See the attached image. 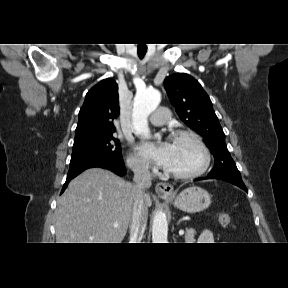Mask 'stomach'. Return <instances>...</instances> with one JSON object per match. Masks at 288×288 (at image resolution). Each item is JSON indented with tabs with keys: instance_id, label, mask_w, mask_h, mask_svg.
<instances>
[{
	"instance_id": "1",
	"label": "stomach",
	"mask_w": 288,
	"mask_h": 288,
	"mask_svg": "<svg viewBox=\"0 0 288 288\" xmlns=\"http://www.w3.org/2000/svg\"><path fill=\"white\" fill-rule=\"evenodd\" d=\"M163 197L172 200L178 209L187 213L203 211L211 204L210 194L205 189L197 186L186 188L175 197Z\"/></svg>"
}]
</instances>
